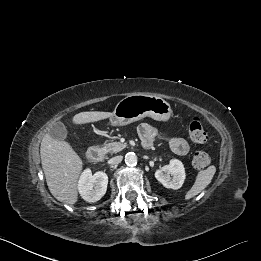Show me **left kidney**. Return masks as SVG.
I'll return each instance as SVG.
<instances>
[{
	"instance_id": "5707ae66",
	"label": "left kidney",
	"mask_w": 261,
	"mask_h": 261,
	"mask_svg": "<svg viewBox=\"0 0 261 261\" xmlns=\"http://www.w3.org/2000/svg\"><path fill=\"white\" fill-rule=\"evenodd\" d=\"M185 176L184 166L182 162L177 159L170 160L169 165H165L155 172L156 179L161 182L164 187L174 190L182 187Z\"/></svg>"
}]
</instances>
